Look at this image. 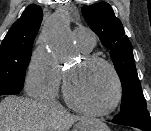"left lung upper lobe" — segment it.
<instances>
[{"instance_id":"left-lung-upper-lobe-1","label":"left lung upper lobe","mask_w":151,"mask_h":131,"mask_svg":"<svg viewBox=\"0 0 151 131\" xmlns=\"http://www.w3.org/2000/svg\"><path fill=\"white\" fill-rule=\"evenodd\" d=\"M82 14L102 44L110 50V57L122 83L120 111L138 106L147 107L135 67L132 44L112 7L106 2H100L83 6Z\"/></svg>"}]
</instances>
